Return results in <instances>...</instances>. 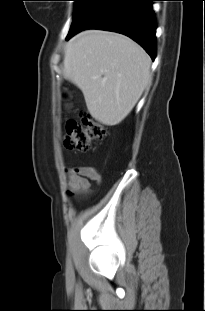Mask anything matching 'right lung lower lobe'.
<instances>
[{
	"label": "right lung lower lobe",
	"mask_w": 205,
	"mask_h": 311,
	"mask_svg": "<svg viewBox=\"0 0 205 311\" xmlns=\"http://www.w3.org/2000/svg\"><path fill=\"white\" fill-rule=\"evenodd\" d=\"M155 0H90L67 40L85 29L119 32L139 43L152 60L156 56Z\"/></svg>",
	"instance_id": "obj_1"
}]
</instances>
